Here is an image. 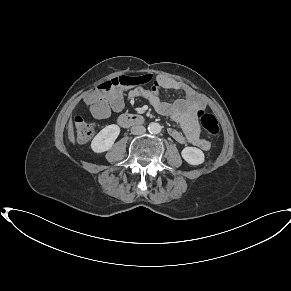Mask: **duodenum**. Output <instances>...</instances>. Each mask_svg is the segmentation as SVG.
Returning <instances> with one entry per match:
<instances>
[{
  "mask_svg": "<svg viewBox=\"0 0 291 291\" xmlns=\"http://www.w3.org/2000/svg\"><path fill=\"white\" fill-rule=\"evenodd\" d=\"M144 121L145 120L142 116L134 114H122L118 119L119 124L123 127L142 125Z\"/></svg>",
  "mask_w": 291,
  "mask_h": 291,
  "instance_id": "410a0bca",
  "label": "duodenum"
}]
</instances>
